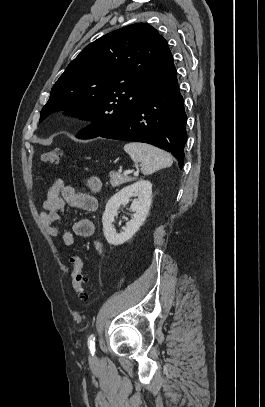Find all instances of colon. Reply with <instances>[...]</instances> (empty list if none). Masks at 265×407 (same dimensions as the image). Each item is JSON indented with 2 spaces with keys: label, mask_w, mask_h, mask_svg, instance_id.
Returning a JSON list of instances; mask_svg holds the SVG:
<instances>
[{
  "label": "colon",
  "mask_w": 265,
  "mask_h": 407,
  "mask_svg": "<svg viewBox=\"0 0 265 407\" xmlns=\"http://www.w3.org/2000/svg\"><path fill=\"white\" fill-rule=\"evenodd\" d=\"M62 151L60 149L47 150L41 155V161L45 164L56 165L59 163L62 157ZM72 264V286L80 301L86 302L89 299L88 293V279L83 273V261L80 256L75 255L71 258Z\"/></svg>",
  "instance_id": "5ec220e1"
}]
</instances>
